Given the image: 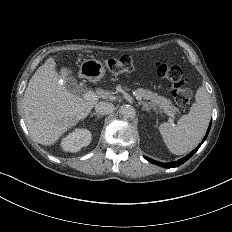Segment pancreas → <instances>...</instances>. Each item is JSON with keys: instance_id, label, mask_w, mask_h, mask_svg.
<instances>
[{"instance_id": "cf45deb5", "label": "pancreas", "mask_w": 232, "mask_h": 232, "mask_svg": "<svg viewBox=\"0 0 232 232\" xmlns=\"http://www.w3.org/2000/svg\"><path fill=\"white\" fill-rule=\"evenodd\" d=\"M136 95H140L144 100L149 101L153 108H157L160 112L173 114L178 111V109L171 103L170 99L159 96L157 93L147 91L144 89H138L135 91Z\"/></svg>"}]
</instances>
